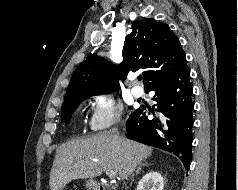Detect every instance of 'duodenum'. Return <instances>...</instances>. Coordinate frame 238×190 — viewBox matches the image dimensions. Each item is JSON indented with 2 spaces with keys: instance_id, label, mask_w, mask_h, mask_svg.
<instances>
[{
  "instance_id": "410a0bca",
  "label": "duodenum",
  "mask_w": 238,
  "mask_h": 190,
  "mask_svg": "<svg viewBox=\"0 0 238 190\" xmlns=\"http://www.w3.org/2000/svg\"><path fill=\"white\" fill-rule=\"evenodd\" d=\"M96 190H116L109 184L100 183L96 185Z\"/></svg>"
}]
</instances>
